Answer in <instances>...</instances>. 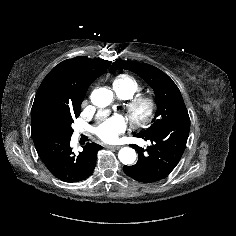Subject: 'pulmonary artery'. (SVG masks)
<instances>
[{"mask_svg": "<svg viewBox=\"0 0 236 236\" xmlns=\"http://www.w3.org/2000/svg\"><path fill=\"white\" fill-rule=\"evenodd\" d=\"M83 132L82 129H77V134Z\"/></svg>", "mask_w": 236, "mask_h": 236, "instance_id": "1", "label": "pulmonary artery"}]
</instances>
